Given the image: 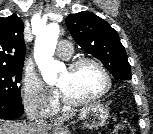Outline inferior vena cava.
<instances>
[{"label":"inferior vena cava","instance_id":"1","mask_svg":"<svg viewBox=\"0 0 153 134\" xmlns=\"http://www.w3.org/2000/svg\"><path fill=\"white\" fill-rule=\"evenodd\" d=\"M28 134H44L46 123L43 119L36 117L33 113L27 111Z\"/></svg>","mask_w":153,"mask_h":134}]
</instances>
